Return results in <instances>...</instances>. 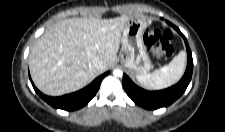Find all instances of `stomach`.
<instances>
[{"label": "stomach", "instance_id": "obj_1", "mask_svg": "<svg viewBox=\"0 0 225 132\" xmlns=\"http://www.w3.org/2000/svg\"><path fill=\"white\" fill-rule=\"evenodd\" d=\"M146 27L147 23L143 18L131 17L125 23L121 38V61L126 68L138 75L146 74L151 68L144 43Z\"/></svg>", "mask_w": 225, "mask_h": 132}]
</instances>
